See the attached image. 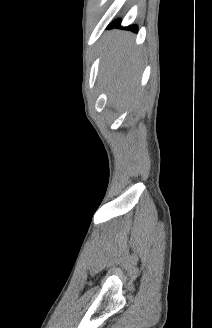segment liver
<instances>
[{
	"mask_svg": "<svg viewBox=\"0 0 212 328\" xmlns=\"http://www.w3.org/2000/svg\"><path fill=\"white\" fill-rule=\"evenodd\" d=\"M141 72L142 57L129 35L122 34L109 41L102 73L109 100L115 107L124 108L137 97Z\"/></svg>",
	"mask_w": 212,
	"mask_h": 328,
	"instance_id": "1",
	"label": "liver"
}]
</instances>
